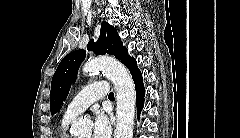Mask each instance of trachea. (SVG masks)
<instances>
[{
    "instance_id": "trachea-1",
    "label": "trachea",
    "mask_w": 240,
    "mask_h": 138,
    "mask_svg": "<svg viewBox=\"0 0 240 138\" xmlns=\"http://www.w3.org/2000/svg\"><path fill=\"white\" fill-rule=\"evenodd\" d=\"M108 98H109L110 100H113V99H114V93H113V92L109 93Z\"/></svg>"
}]
</instances>
